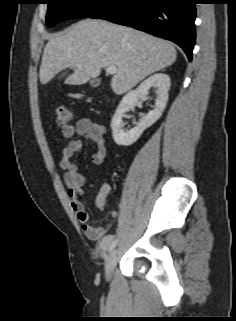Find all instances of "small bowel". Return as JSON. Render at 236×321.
<instances>
[{
  "label": "small bowel",
  "mask_w": 236,
  "mask_h": 321,
  "mask_svg": "<svg viewBox=\"0 0 236 321\" xmlns=\"http://www.w3.org/2000/svg\"><path fill=\"white\" fill-rule=\"evenodd\" d=\"M105 132L104 126L95 123L90 118H81L76 123L62 126V135L67 142L62 150V158L60 160V167L64 172L70 206L75 212L78 221L81 223L86 237L91 240H99L102 250H106L110 244V238L105 236V234L116 218L117 211L111 210L109 218L103 225L96 226L90 221V216L85 206L79 200V196L83 193L87 184V176L78 170L72 157L83 148L82 140L77 138V136H82L93 141L96 145V150L92 156L93 164H102L107 152L106 140L104 138ZM110 190V185L103 183L97 191L89 195L90 198L94 199L97 208L101 211L106 209V199Z\"/></svg>",
  "instance_id": "c3829d8e"
}]
</instances>
